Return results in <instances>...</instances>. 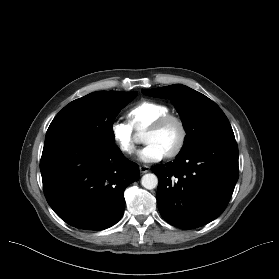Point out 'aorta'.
Here are the masks:
<instances>
[{
	"mask_svg": "<svg viewBox=\"0 0 279 279\" xmlns=\"http://www.w3.org/2000/svg\"><path fill=\"white\" fill-rule=\"evenodd\" d=\"M141 184L144 188H146L148 190L154 189L158 185V178L153 173L145 174L141 178Z\"/></svg>",
	"mask_w": 279,
	"mask_h": 279,
	"instance_id": "762f6f07",
	"label": "aorta"
}]
</instances>
